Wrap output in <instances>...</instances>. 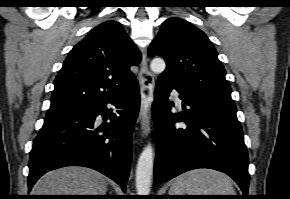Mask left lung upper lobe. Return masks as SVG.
<instances>
[{"mask_svg": "<svg viewBox=\"0 0 290 199\" xmlns=\"http://www.w3.org/2000/svg\"><path fill=\"white\" fill-rule=\"evenodd\" d=\"M148 55L165 59L167 67L160 77L178 88L234 104L225 69L214 46L200 29L189 22L177 17L164 21Z\"/></svg>", "mask_w": 290, "mask_h": 199, "instance_id": "obj_1", "label": "left lung upper lobe"}]
</instances>
